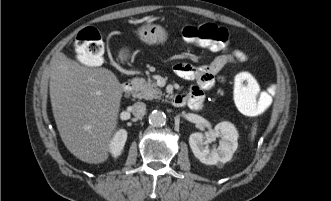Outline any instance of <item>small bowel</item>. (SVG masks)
I'll list each match as a JSON object with an SVG mask.
<instances>
[{
    "label": "small bowel",
    "instance_id": "small-bowel-1",
    "mask_svg": "<svg viewBox=\"0 0 331 201\" xmlns=\"http://www.w3.org/2000/svg\"><path fill=\"white\" fill-rule=\"evenodd\" d=\"M246 58L243 52L235 50L231 54L219 55L205 65L175 64L173 69L179 77L196 83L186 93L179 94L184 100L183 105L187 104L194 110L200 109L203 106L205 91L211 89L216 81H223V78L219 76L222 69L231 61H245Z\"/></svg>",
    "mask_w": 331,
    "mask_h": 201
}]
</instances>
